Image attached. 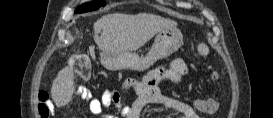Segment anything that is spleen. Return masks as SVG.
I'll return each mask as SVG.
<instances>
[{
  "label": "spleen",
  "mask_w": 273,
  "mask_h": 118,
  "mask_svg": "<svg viewBox=\"0 0 273 118\" xmlns=\"http://www.w3.org/2000/svg\"><path fill=\"white\" fill-rule=\"evenodd\" d=\"M198 52L201 54V55H204V56H206V55H208V53H209V49H208V47L205 45V44H199L198 45Z\"/></svg>",
  "instance_id": "1"
}]
</instances>
